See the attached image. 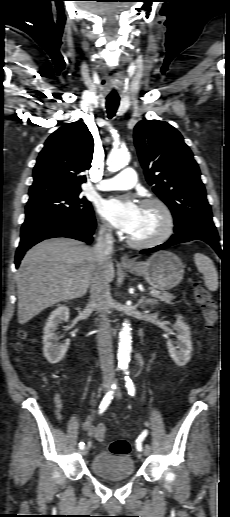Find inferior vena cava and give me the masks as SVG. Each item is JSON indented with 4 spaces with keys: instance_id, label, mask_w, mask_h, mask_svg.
Returning a JSON list of instances; mask_svg holds the SVG:
<instances>
[{
    "instance_id": "1",
    "label": "inferior vena cava",
    "mask_w": 230,
    "mask_h": 517,
    "mask_svg": "<svg viewBox=\"0 0 230 517\" xmlns=\"http://www.w3.org/2000/svg\"><path fill=\"white\" fill-rule=\"evenodd\" d=\"M113 242L111 230L106 226H101L94 246L98 266L90 282L91 303L96 307L100 316L97 336L98 351L102 375L106 380H113L115 375L112 353V329L106 314L112 304L107 269L111 264Z\"/></svg>"
}]
</instances>
